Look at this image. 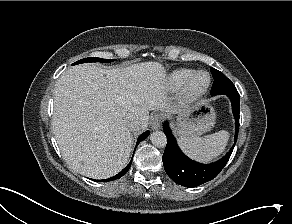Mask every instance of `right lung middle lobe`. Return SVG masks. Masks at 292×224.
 Returning a JSON list of instances; mask_svg holds the SVG:
<instances>
[{
    "mask_svg": "<svg viewBox=\"0 0 292 224\" xmlns=\"http://www.w3.org/2000/svg\"><path fill=\"white\" fill-rule=\"evenodd\" d=\"M114 61L113 59H102V58H97V57H90V58H84L82 60H79L74 63L75 64H80V63H85V62H102V63H109Z\"/></svg>",
    "mask_w": 292,
    "mask_h": 224,
    "instance_id": "obj_1",
    "label": "right lung middle lobe"
}]
</instances>
